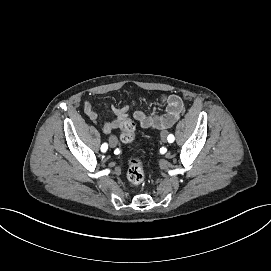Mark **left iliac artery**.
<instances>
[{
  "mask_svg": "<svg viewBox=\"0 0 271 271\" xmlns=\"http://www.w3.org/2000/svg\"><path fill=\"white\" fill-rule=\"evenodd\" d=\"M174 136L172 134L168 135V142L172 143L174 141Z\"/></svg>",
  "mask_w": 271,
  "mask_h": 271,
  "instance_id": "obj_1",
  "label": "left iliac artery"
}]
</instances>
